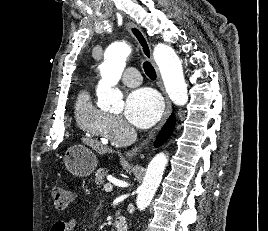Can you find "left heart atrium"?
Instances as JSON below:
<instances>
[{
    "label": "left heart atrium",
    "instance_id": "obj_1",
    "mask_svg": "<svg viewBox=\"0 0 268 231\" xmlns=\"http://www.w3.org/2000/svg\"><path fill=\"white\" fill-rule=\"evenodd\" d=\"M163 104L157 92L150 88H140L130 92L125 102L127 121L139 128L154 125L161 117Z\"/></svg>",
    "mask_w": 268,
    "mask_h": 231
}]
</instances>
